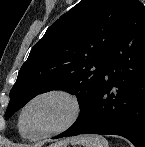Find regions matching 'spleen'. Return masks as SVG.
<instances>
[{"label": "spleen", "instance_id": "spleen-1", "mask_svg": "<svg viewBox=\"0 0 145 147\" xmlns=\"http://www.w3.org/2000/svg\"><path fill=\"white\" fill-rule=\"evenodd\" d=\"M76 143L84 147H109L108 141L99 135H82L77 138Z\"/></svg>", "mask_w": 145, "mask_h": 147}]
</instances>
